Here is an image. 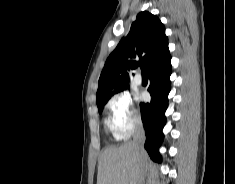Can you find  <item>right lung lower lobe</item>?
Returning a JSON list of instances; mask_svg holds the SVG:
<instances>
[{"label": "right lung lower lobe", "mask_w": 235, "mask_h": 184, "mask_svg": "<svg viewBox=\"0 0 235 184\" xmlns=\"http://www.w3.org/2000/svg\"><path fill=\"white\" fill-rule=\"evenodd\" d=\"M146 73L150 80L148 91L152 99L150 103L140 104L146 135L144 147L153 161L161 162L159 147L164 139V134L162 133L166 123L164 112L168 106L167 96L171 89L169 79L172 73L170 54L151 67Z\"/></svg>", "instance_id": "obj_1"}]
</instances>
